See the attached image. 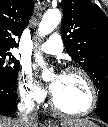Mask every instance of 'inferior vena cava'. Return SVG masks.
<instances>
[{
	"label": "inferior vena cava",
	"mask_w": 108,
	"mask_h": 127,
	"mask_svg": "<svg viewBox=\"0 0 108 127\" xmlns=\"http://www.w3.org/2000/svg\"><path fill=\"white\" fill-rule=\"evenodd\" d=\"M34 106L33 94L31 92L23 94L18 104V118L22 127H30V124L37 121V114L33 112Z\"/></svg>",
	"instance_id": "1"
}]
</instances>
